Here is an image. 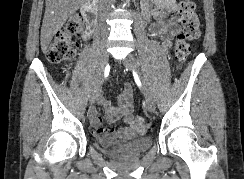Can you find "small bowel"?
Instances as JSON below:
<instances>
[{
    "instance_id": "small-bowel-1",
    "label": "small bowel",
    "mask_w": 244,
    "mask_h": 179,
    "mask_svg": "<svg viewBox=\"0 0 244 179\" xmlns=\"http://www.w3.org/2000/svg\"><path fill=\"white\" fill-rule=\"evenodd\" d=\"M173 0L158 1L155 3H145L142 9V18L148 24L149 36L152 39L160 40L162 51L166 55L171 46V38L175 36L179 29L172 14L174 13ZM151 18L154 20L152 21ZM132 86L129 83L123 85L122 92L117 98V105L111 106L102 98L101 103L106 110V120L109 124H115L122 120L125 124L121 127L111 126L102 127V118L91 110V121L93 131L100 136L105 143H111L115 140L130 139L135 135L133 126V98Z\"/></svg>"
}]
</instances>
